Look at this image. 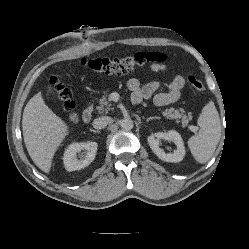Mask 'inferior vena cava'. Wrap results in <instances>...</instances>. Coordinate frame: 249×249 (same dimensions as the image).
<instances>
[{"mask_svg":"<svg viewBox=\"0 0 249 249\" xmlns=\"http://www.w3.org/2000/svg\"><path fill=\"white\" fill-rule=\"evenodd\" d=\"M109 121H110V117L108 116L99 117L97 119H94L93 127L95 129H103L108 125Z\"/></svg>","mask_w":249,"mask_h":249,"instance_id":"obj_1","label":"inferior vena cava"}]
</instances>
